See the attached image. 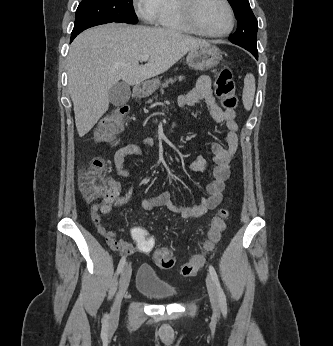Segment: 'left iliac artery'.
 <instances>
[{
	"label": "left iliac artery",
	"instance_id": "left-iliac-artery-1",
	"mask_svg": "<svg viewBox=\"0 0 333 346\" xmlns=\"http://www.w3.org/2000/svg\"><path fill=\"white\" fill-rule=\"evenodd\" d=\"M209 272H210V276H211L213 282L215 283V285L217 287L219 302H220V307H221L222 313H223V315H226L227 314L226 296H225V293H224V291L220 285L218 275H217V273H216V271L212 265L209 266Z\"/></svg>",
	"mask_w": 333,
	"mask_h": 346
}]
</instances>
